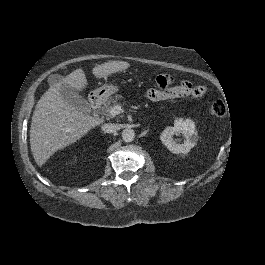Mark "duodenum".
Returning <instances> with one entry per match:
<instances>
[{
	"label": "duodenum",
	"mask_w": 265,
	"mask_h": 265,
	"mask_svg": "<svg viewBox=\"0 0 265 265\" xmlns=\"http://www.w3.org/2000/svg\"><path fill=\"white\" fill-rule=\"evenodd\" d=\"M102 96L98 93H93L89 96V103L93 109H98L102 103Z\"/></svg>",
	"instance_id": "duodenum-1"
}]
</instances>
